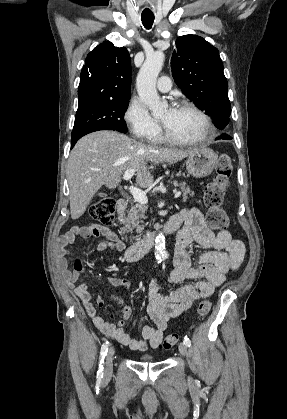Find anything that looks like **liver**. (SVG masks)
<instances>
[{
    "instance_id": "obj_1",
    "label": "liver",
    "mask_w": 287,
    "mask_h": 419,
    "mask_svg": "<svg viewBox=\"0 0 287 419\" xmlns=\"http://www.w3.org/2000/svg\"><path fill=\"white\" fill-rule=\"evenodd\" d=\"M194 150L153 147L115 131H97L82 137L67 163L71 218L76 220L85 213L101 186L116 188L125 171L135 170L137 185L147 188L153 183L149 162L174 163Z\"/></svg>"
}]
</instances>
